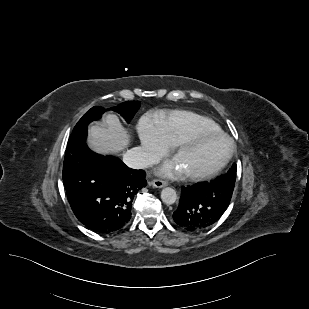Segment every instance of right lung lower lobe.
<instances>
[{
	"label": "right lung lower lobe",
	"instance_id": "98d812e1",
	"mask_svg": "<svg viewBox=\"0 0 309 309\" xmlns=\"http://www.w3.org/2000/svg\"><path fill=\"white\" fill-rule=\"evenodd\" d=\"M87 126L68 140L63 181L68 201L87 228L109 234L131 218L135 194L147 185L145 172L127 167L120 159L92 152L85 142Z\"/></svg>",
	"mask_w": 309,
	"mask_h": 309
}]
</instances>
